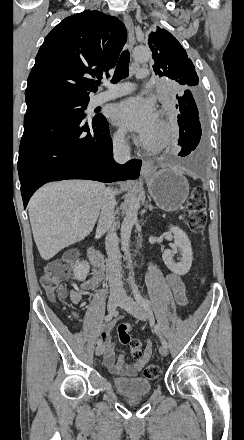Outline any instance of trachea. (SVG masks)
<instances>
[{
  "mask_svg": "<svg viewBox=\"0 0 244 440\" xmlns=\"http://www.w3.org/2000/svg\"><path fill=\"white\" fill-rule=\"evenodd\" d=\"M129 61H130L129 51L125 50L121 53L120 58L118 60L117 67H116L115 73L113 75V79L111 81L112 83H118L120 80H122V78H125L128 76ZM96 83L98 85H100L101 81L99 80Z\"/></svg>",
  "mask_w": 244,
  "mask_h": 440,
  "instance_id": "1",
  "label": "trachea"
}]
</instances>
